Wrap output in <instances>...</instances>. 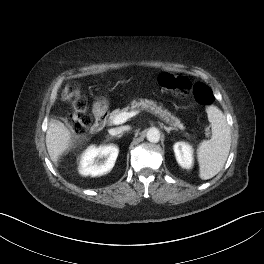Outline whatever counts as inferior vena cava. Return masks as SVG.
Segmentation results:
<instances>
[{
  "label": "inferior vena cava",
  "mask_w": 264,
  "mask_h": 264,
  "mask_svg": "<svg viewBox=\"0 0 264 264\" xmlns=\"http://www.w3.org/2000/svg\"><path fill=\"white\" fill-rule=\"evenodd\" d=\"M128 130V127L122 126V127H117V128H112L109 130L110 135H117L120 134L124 131Z\"/></svg>",
  "instance_id": "inferior-vena-cava-1"
}]
</instances>
